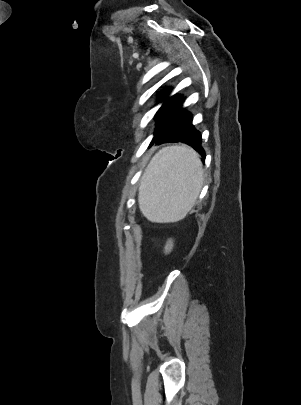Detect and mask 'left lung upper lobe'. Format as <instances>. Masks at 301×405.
Here are the masks:
<instances>
[{
	"instance_id": "left-lung-upper-lobe-1",
	"label": "left lung upper lobe",
	"mask_w": 301,
	"mask_h": 405,
	"mask_svg": "<svg viewBox=\"0 0 301 405\" xmlns=\"http://www.w3.org/2000/svg\"><path fill=\"white\" fill-rule=\"evenodd\" d=\"M168 92V91H167ZM168 93H164L160 96L159 101H163L167 97ZM180 101V97H171L167 99L162 107L159 109V111L156 114V128L155 132L160 129V127L163 125L164 121L166 120L167 116L169 115L170 111L173 109V107Z\"/></svg>"
}]
</instances>
